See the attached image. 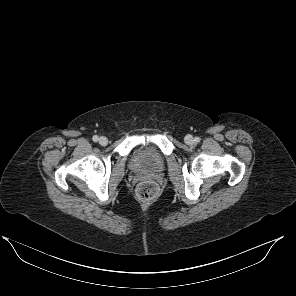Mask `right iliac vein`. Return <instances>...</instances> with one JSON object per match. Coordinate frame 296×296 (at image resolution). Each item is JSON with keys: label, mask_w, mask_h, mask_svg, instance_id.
<instances>
[{"label": "right iliac vein", "mask_w": 296, "mask_h": 296, "mask_svg": "<svg viewBox=\"0 0 296 296\" xmlns=\"http://www.w3.org/2000/svg\"><path fill=\"white\" fill-rule=\"evenodd\" d=\"M108 143V139L104 136L100 137L99 138V144L102 145V146H106Z\"/></svg>", "instance_id": "obj_1"}]
</instances>
